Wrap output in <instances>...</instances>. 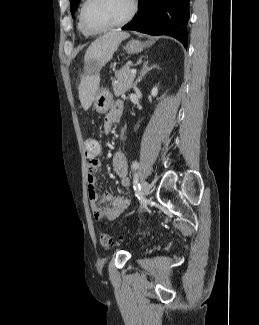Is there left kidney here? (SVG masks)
Returning a JSON list of instances; mask_svg holds the SVG:
<instances>
[{
  "label": "left kidney",
  "mask_w": 259,
  "mask_h": 325,
  "mask_svg": "<svg viewBox=\"0 0 259 325\" xmlns=\"http://www.w3.org/2000/svg\"><path fill=\"white\" fill-rule=\"evenodd\" d=\"M157 94H158V87H154L152 90H151V95L153 96V97H155V96H157Z\"/></svg>",
  "instance_id": "left-kidney-1"
}]
</instances>
